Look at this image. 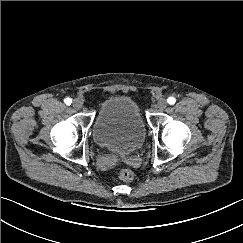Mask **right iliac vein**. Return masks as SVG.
<instances>
[{"mask_svg":"<svg viewBox=\"0 0 243 243\" xmlns=\"http://www.w3.org/2000/svg\"><path fill=\"white\" fill-rule=\"evenodd\" d=\"M73 107H74L75 109H77V110L81 109V108L83 107V102H82V100H81V99H78V98L74 99V100H73Z\"/></svg>","mask_w":243,"mask_h":243,"instance_id":"right-iliac-vein-1","label":"right iliac vein"}]
</instances>
